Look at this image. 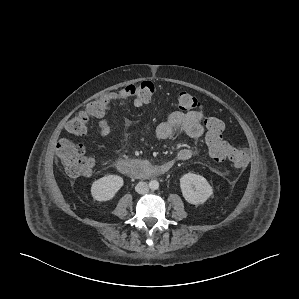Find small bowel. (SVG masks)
I'll use <instances>...</instances> for the list:
<instances>
[{
  "mask_svg": "<svg viewBox=\"0 0 299 299\" xmlns=\"http://www.w3.org/2000/svg\"><path fill=\"white\" fill-rule=\"evenodd\" d=\"M108 103H116L120 106L124 105L125 102L131 97L126 89H121L119 91L110 92L105 95ZM144 103L138 99H133V106L139 108ZM204 119V114L201 111H189L172 112L167 120L160 123L156 128V135L159 139H169L176 132L182 131L191 138H199L204 134V127L202 125V120ZM97 134L102 138H108L111 133V122L106 116H102L97 127ZM193 156V151L190 148H182L178 151L176 159L179 161L189 160ZM175 160H168L159 166L166 170V172L172 168Z\"/></svg>",
  "mask_w": 299,
  "mask_h": 299,
  "instance_id": "1",
  "label": "small bowel"
}]
</instances>
